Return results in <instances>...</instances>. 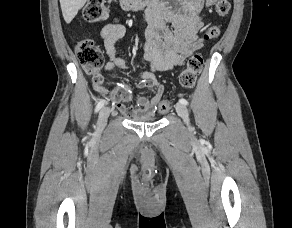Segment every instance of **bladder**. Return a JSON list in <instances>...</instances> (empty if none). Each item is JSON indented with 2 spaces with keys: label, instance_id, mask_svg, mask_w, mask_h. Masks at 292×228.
<instances>
[{
  "label": "bladder",
  "instance_id": "obj_1",
  "mask_svg": "<svg viewBox=\"0 0 292 228\" xmlns=\"http://www.w3.org/2000/svg\"><path fill=\"white\" fill-rule=\"evenodd\" d=\"M157 118L154 116H144V115H135L132 117V121L139 123H150L155 122Z\"/></svg>",
  "mask_w": 292,
  "mask_h": 228
}]
</instances>
